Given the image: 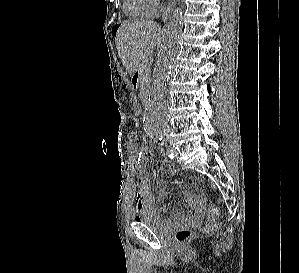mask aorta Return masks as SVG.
Segmentation results:
<instances>
[{
    "instance_id": "762f6f07",
    "label": "aorta",
    "mask_w": 299,
    "mask_h": 273,
    "mask_svg": "<svg viewBox=\"0 0 299 273\" xmlns=\"http://www.w3.org/2000/svg\"><path fill=\"white\" fill-rule=\"evenodd\" d=\"M182 31V13L176 9L167 25L159 58L153 75V83L144 112V129L156 140H164L169 130L165 109V89L171 65L178 52V39Z\"/></svg>"
}]
</instances>
